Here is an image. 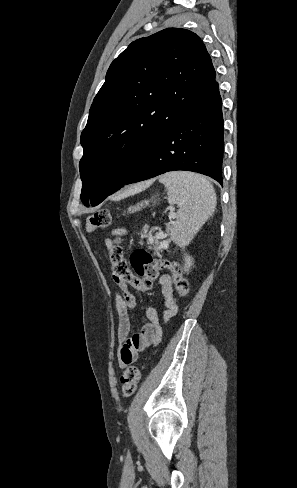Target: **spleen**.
Returning <instances> with one entry per match:
<instances>
[{"label":"spleen","mask_w":297,"mask_h":488,"mask_svg":"<svg viewBox=\"0 0 297 488\" xmlns=\"http://www.w3.org/2000/svg\"><path fill=\"white\" fill-rule=\"evenodd\" d=\"M159 181L168 190L169 204L179 205L176 220L170 227L171 238L185 246L215 210L213 186L201 175L179 171L166 173Z\"/></svg>","instance_id":"3e777b00"}]
</instances>
